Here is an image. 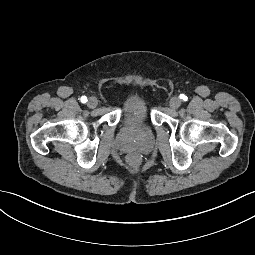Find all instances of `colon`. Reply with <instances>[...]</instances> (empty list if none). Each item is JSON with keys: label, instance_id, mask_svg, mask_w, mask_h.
<instances>
[{"label": "colon", "instance_id": "colon-1", "mask_svg": "<svg viewBox=\"0 0 255 255\" xmlns=\"http://www.w3.org/2000/svg\"><path fill=\"white\" fill-rule=\"evenodd\" d=\"M128 162H129V164H131V165H136V164L138 163V158H137V156H136V155H131V156H129Z\"/></svg>", "mask_w": 255, "mask_h": 255}]
</instances>
